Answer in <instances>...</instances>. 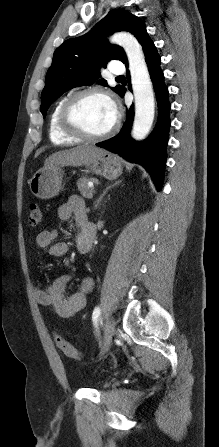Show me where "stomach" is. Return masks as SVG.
<instances>
[{
	"label": "stomach",
	"instance_id": "obj_1",
	"mask_svg": "<svg viewBox=\"0 0 219 447\" xmlns=\"http://www.w3.org/2000/svg\"><path fill=\"white\" fill-rule=\"evenodd\" d=\"M87 170L108 180H114L122 174L119 158L107 151L87 165ZM63 170L61 165H53L39 169L29 180L31 193L41 199L57 196L64 188Z\"/></svg>",
	"mask_w": 219,
	"mask_h": 447
}]
</instances>
